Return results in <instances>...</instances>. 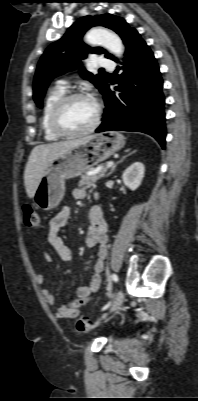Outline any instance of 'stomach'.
Segmentation results:
<instances>
[{
  "mask_svg": "<svg viewBox=\"0 0 198 401\" xmlns=\"http://www.w3.org/2000/svg\"><path fill=\"white\" fill-rule=\"evenodd\" d=\"M125 144L117 131L93 134L85 141L54 159L42 176L34 195L38 208L51 210L65 195V180L82 175L90 167L108 159Z\"/></svg>",
  "mask_w": 198,
  "mask_h": 401,
  "instance_id": "1",
  "label": "stomach"
}]
</instances>
